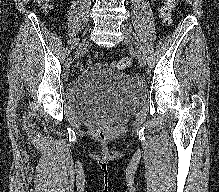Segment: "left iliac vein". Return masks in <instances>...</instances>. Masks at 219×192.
Segmentation results:
<instances>
[{
  "label": "left iliac vein",
  "instance_id": "1",
  "mask_svg": "<svg viewBox=\"0 0 219 192\" xmlns=\"http://www.w3.org/2000/svg\"><path fill=\"white\" fill-rule=\"evenodd\" d=\"M121 30L123 33V37L125 42L133 49L134 55L137 58L139 64L141 67H144L146 64V60H145V56L143 55V53L134 46L133 44V37H134V33L132 28L128 25V24H123L121 26Z\"/></svg>",
  "mask_w": 219,
  "mask_h": 192
}]
</instances>
